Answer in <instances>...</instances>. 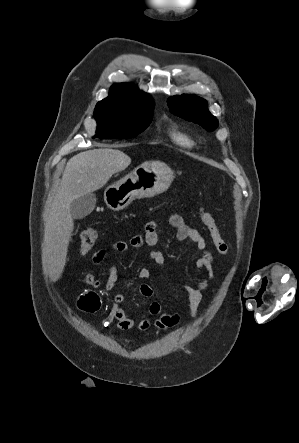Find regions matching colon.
Returning a JSON list of instances; mask_svg holds the SVG:
<instances>
[{
	"label": "colon",
	"mask_w": 299,
	"mask_h": 443,
	"mask_svg": "<svg viewBox=\"0 0 299 443\" xmlns=\"http://www.w3.org/2000/svg\"><path fill=\"white\" fill-rule=\"evenodd\" d=\"M199 216L210 233L211 240L213 245L223 255L228 254L229 247L227 243L223 240L219 228L216 224L214 217L210 212L206 211L203 208L199 209ZM98 237V232L95 228L89 227L82 231L81 233V242H80V251L83 255L87 254L95 245Z\"/></svg>",
	"instance_id": "obj_1"
}]
</instances>
